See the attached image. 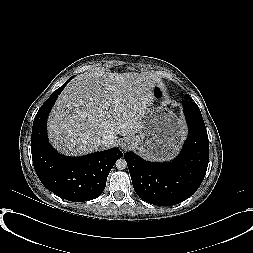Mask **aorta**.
<instances>
[{"label":"aorta","mask_w":253,"mask_h":253,"mask_svg":"<svg viewBox=\"0 0 253 253\" xmlns=\"http://www.w3.org/2000/svg\"><path fill=\"white\" fill-rule=\"evenodd\" d=\"M115 166L118 170H124L127 167V162L124 158H120L116 161Z\"/></svg>","instance_id":"obj_1"}]
</instances>
